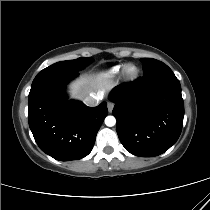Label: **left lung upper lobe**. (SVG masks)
Returning <instances> with one entry per match:
<instances>
[{
	"mask_svg": "<svg viewBox=\"0 0 210 210\" xmlns=\"http://www.w3.org/2000/svg\"><path fill=\"white\" fill-rule=\"evenodd\" d=\"M140 61L143 63L144 74H148L157 68L166 66L163 62L151 58H142Z\"/></svg>",
	"mask_w": 210,
	"mask_h": 210,
	"instance_id": "left-lung-upper-lobe-1",
	"label": "left lung upper lobe"
}]
</instances>
